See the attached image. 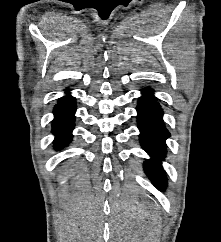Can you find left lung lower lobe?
I'll use <instances>...</instances> for the list:
<instances>
[{"label": "left lung lower lobe", "mask_w": 221, "mask_h": 242, "mask_svg": "<svg viewBox=\"0 0 221 242\" xmlns=\"http://www.w3.org/2000/svg\"><path fill=\"white\" fill-rule=\"evenodd\" d=\"M137 112L140 142L143 149L152 157L144 165L145 172L153 184L162 190L166 186V177L161 161L166 153L165 139L169 137V133L163 124L162 109L153 97V91L149 88L143 90Z\"/></svg>", "instance_id": "left-lung-lower-lobe-1"}]
</instances>
